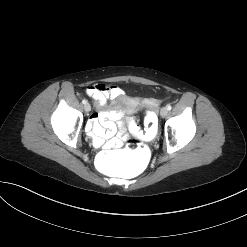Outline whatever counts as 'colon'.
Instances as JSON below:
<instances>
[{
	"instance_id": "colon-1",
	"label": "colon",
	"mask_w": 247,
	"mask_h": 247,
	"mask_svg": "<svg viewBox=\"0 0 247 247\" xmlns=\"http://www.w3.org/2000/svg\"><path fill=\"white\" fill-rule=\"evenodd\" d=\"M132 126L130 134L140 136L142 127L136 124V118H131ZM155 124L151 116L148 120V127L151 129ZM152 160L151 149L140 139H130L125 148L117 152L111 148L100 149L94 159V168L101 175L116 178H134L143 174L149 167Z\"/></svg>"
}]
</instances>
